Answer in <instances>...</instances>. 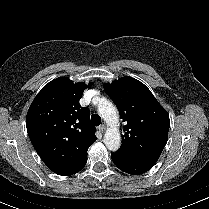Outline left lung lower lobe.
Masks as SVG:
<instances>
[{
	"label": "left lung lower lobe",
	"instance_id": "1",
	"mask_svg": "<svg viewBox=\"0 0 209 209\" xmlns=\"http://www.w3.org/2000/svg\"><path fill=\"white\" fill-rule=\"evenodd\" d=\"M111 158L120 170L132 175H139L148 171L156 162L148 159L119 154L117 152L111 154Z\"/></svg>",
	"mask_w": 209,
	"mask_h": 209
}]
</instances>
